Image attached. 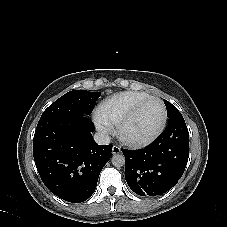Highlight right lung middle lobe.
Wrapping results in <instances>:
<instances>
[{
  "label": "right lung middle lobe",
  "mask_w": 227,
  "mask_h": 227,
  "mask_svg": "<svg viewBox=\"0 0 227 227\" xmlns=\"http://www.w3.org/2000/svg\"><path fill=\"white\" fill-rule=\"evenodd\" d=\"M100 92L73 90L52 103L41 118L81 117L92 113Z\"/></svg>",
  "instance_id": "dd1d6c3e"
}]
</instances>
